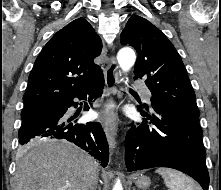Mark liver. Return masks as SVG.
Listing matches in <instances>:
<instances>
[{"label": "liver", "mask_w": 221, "mask_h": 190, "mask_svg": "<svg viewBox=\"0 0 221 190\" xmlns=\"http://www.w3.org/2000/svg\"><path fill=\"white\" fill-rule=\"evenodd\" d=\"M14 190H88L98 163L66 141L38 140L21 149ZM70 184V186H67Z\"/></svg>", "instance_id": "obj_1"}]
</instances>
